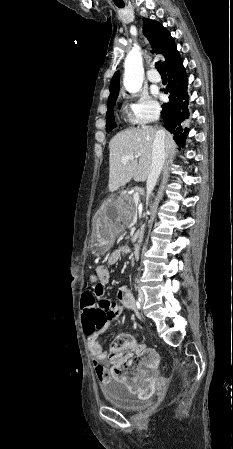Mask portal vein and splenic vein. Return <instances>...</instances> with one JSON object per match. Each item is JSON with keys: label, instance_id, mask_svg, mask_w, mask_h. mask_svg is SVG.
I'll return each instance as SVG.
<instances>
[{"label": "portal vein and splenic vein", "instance_id": "obj_1", "mask_svg": "<svg viewBox=\"0 0 233 449\" xmlns=\"http://www.w3.org/2000/svg\"><path fill=\"white\" fill-rule=\"evenodd\" d=\"M134 158H135V156L133 154H129V155H126L125 157H123L121 161H122V163H126L128 160H132ZM133 201L136 205L140 202V197H139L138 192H135L133 194Z\"/></svg>", "mask_w": 233, "mask_h": 449}]
</instances>
